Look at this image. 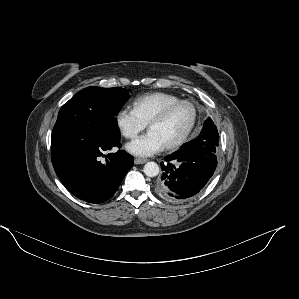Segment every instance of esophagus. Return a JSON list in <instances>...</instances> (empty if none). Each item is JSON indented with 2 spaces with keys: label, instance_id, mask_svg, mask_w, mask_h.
I'll return each instance as SVG.
<instances>
[{
  "label": "esophagus",
  "instance_id": "34e87169",
  "mask_svg": "<svg viewBox=\"0 0 299 299\" xmlns=\"http://www.w3.org/2000/svg\"><path fill=\"white\" fill-rule=\"evenodd\" d=\"M148 161V159H144V158H135L134 159V163L135 164H144Z\"/></svg>",
  "mask_w": 299,
  "mask_h": 299
}]
</instances>
